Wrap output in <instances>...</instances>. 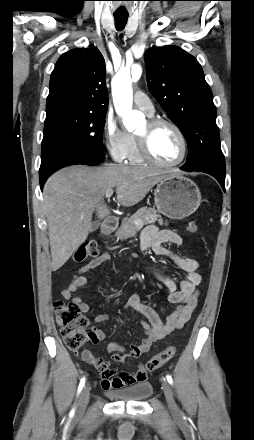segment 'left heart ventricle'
<instances>
[{
	"instance_id": "1",
	"label": "left heart ventricle",
	"mask_w": 254,
	"mask_h": 440,
	"mask_svg": "<svg viewBox=\"0 0 254 440\" xmlns=\"http://www.w3.org/2000/svg\"><path fill=\"white\" fill-rule=\"evenodd\" d=\"M149 133L146 122L137 135ZM150 147L154 156L162 162L172 163L177 161L182 152V144L177 133L169 126L162 125L151 132Z\"/></svg>"
}]
</instances>
